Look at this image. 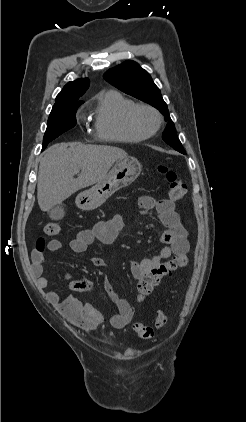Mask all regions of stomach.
Wrapping results in <instances>:
<instances>
[{
  "mask_svg": "<svg viewBox=\"0 0 246 422\" xmlns=\"http://www.w3.org/2000/svg\"><path fill=\"white\" fill-rule=\"evenodd\" d=\"M141 170V164L136 158L120 159L100 182L77 196V206L82 210H93L99 207L116 191L132 184L140 175Z\"/></svg>",
  "mask_w": 246,
  "mask_h": 422,
  "instance_id": "1",
  "label": "stomach"
}]
</instances>
